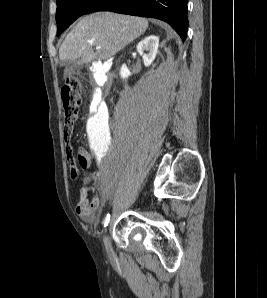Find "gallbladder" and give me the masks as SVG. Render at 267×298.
<instances>
[{
    "label": "gallbladder",
    "mask_w": 267,
    "mask_h": 298,
    "mask_svg": "<svg viewBox=\"0 0 267 298\" xmlns=\"http://www.w3.org/2000/svg\"><path fill=\"white\" fill-rule=\"evenodd\" d=\"M62 65L63 66H66V67H68L69 66V68L68 69H70V68H72L73 66H72V62H70V61H63L62 62ZM67 69V70H68Z\"/></svg>",
    "instance_id": "1"
}]
</instances>
